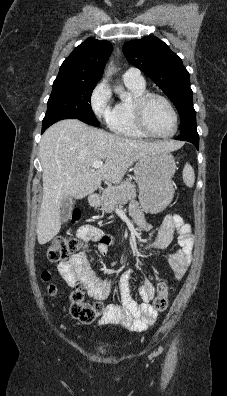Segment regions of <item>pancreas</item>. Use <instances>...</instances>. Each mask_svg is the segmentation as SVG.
<instances>
[{
    "mask_svg": "<svg viewBox=\"0 0 227 396\" xmlns=\"http://www.w3.org/2000/svg\"><path fill=\"white\" fill-rule=\"evenodd\" d=\"M137 192L135 185L132 183L131 178L121 182L116 186H109L103 190L101 196V210L110 213L118 206L126 204L129 200L136 198Z\"/></svg>",
    "mask_w": 227,
    "mask_h": 396,
    "instance_id": "1",
    "label": "pancreas"
}]
</instances>
